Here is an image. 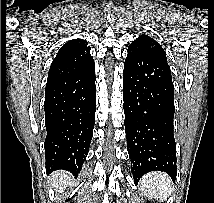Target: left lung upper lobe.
I'll use <instances>...</instances> for the list:
<instances>
[{"mask_svg":"<svg viewBox=\"0 0 214 203\" xmlns=\"http://www.w3.org/2000/svg\"><path fill=\"white\" fill-rule=\"evenodd\" d=\"M128 50L144 52L167 62L166 54L161 46L153 38L147 35H141L128 47Z\"/></svg>","mask_w":214,"mask_h":203,"instance_id":"left-lung-upper-lobe-1","label":"left lung upper lobe"}]
</instances>
